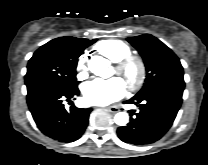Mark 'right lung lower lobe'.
I'll list each match as a JSON object with an SVG mask.
<instances>
[{
    "instance_id": "1",
    "label": "right lung lower lobe",
    "mask_w": 208,
    "mask_h": 165,
    "mask_svg": "<svg viewBox=\"0 0 208 165\" xmlns=\"http://www.w3.org/2000/svg\"><path fill=\"white\" fill-rule=\"evenodd\" d=\"M79 89L43 87L27 95L29 110L41 132L59 142H73L84 133L92 109L74 105L67 111L63 101L79 95Z\"/></svg>"
}]
</instances>
